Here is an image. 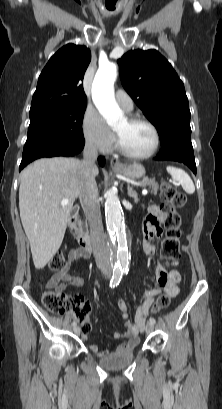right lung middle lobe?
<instances>
[{
    "instance_id": "dd1d6c3e",
    "label": "right lung middle lobe",
    "mask_w": 222,
    "mask_h": 409,
    "mask_svg": "<svg viewBox=\"0 0 222 409\" xmlns=\"http://www.w3.org/2000/svg\"><path fill=\"white\" fill-rule=\"evenodd\" d=\"M87 103L40 106L30 109V125L22 158L66 153L84 145L81 125Z\"/></svg>"
}]
</instances>
